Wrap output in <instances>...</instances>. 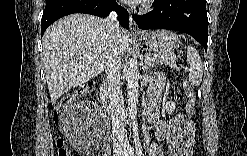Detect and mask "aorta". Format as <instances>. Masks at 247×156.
Masks as SVG:
<instances>
[{"label":"aorta","mask_w":247,"mask_h":156,"mask_svg":"<svg viewBox=\"0 0 247 156\" xmlns=\"http://www.w3.org/2000/svg\"><path fill=\"white\" fill-rule=\"evenodd\" d=\"M139 95V71L137 61L130 58L127 68V96L128 112L133 125L137 121V107Z\"/></svg>","instance_id":"1"}]
</instances>
